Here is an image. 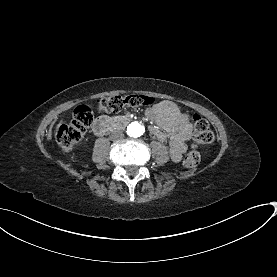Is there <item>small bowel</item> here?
I'll use <instances>...</instances> for the list:
<instances>
[{
  "instance_id": "c3829d8e",
  "label": "small bowel",
  "mask_w": 277,
  "mask_h": 277,
  "mask_svg": "<svg viewBox=\"0 0 277 277\" xmlns=\"http://www.w3.org/2000/svg\"><path fill=\"white\" fill-rule=\"evenodd\" d=\"M154 122L150 132L160 142H168L173 161L179 162L187 149L186 142L193 135V125L188 116L182 113L170 100H163L146 111Z\"/></svg>"
}]
</instances>
